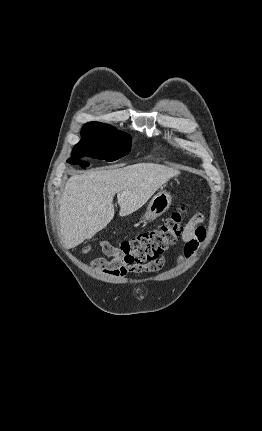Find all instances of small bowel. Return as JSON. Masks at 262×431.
<instances>
[{"label": "small bowel", "mask_w": 262, "mask_h": 431, "mask_svg": "<svg viewBox=\"0 0 262 431\" xmlns=\"http://www.w3.org/2000/svg\"><path fill=\"white\" fill-rule=\"evenodd\" d=\"M201 219L199 216H193L186 224L182 234L181 241L184 244L183 254L179 257V261L190 259L196 252L199 244L204 241L206 231L204 227H200ZM165 264V258H159L147 264L124 265L116 260H107L104 258H96L93 260V265L100 269L104 274L115 279H121L127 276L130 272L133 273H152L161 269Z\"/></svg>", "instance_id": "small-bowel-1"}]
</instances>
